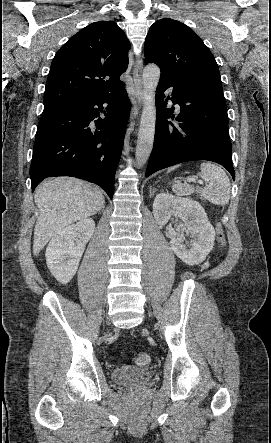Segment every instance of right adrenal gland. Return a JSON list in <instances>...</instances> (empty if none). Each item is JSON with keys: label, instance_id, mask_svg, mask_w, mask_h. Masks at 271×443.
<instances>
[{"label": "right adrenal gland", "instance_id": "2a0ac1e0", "mask_svg": "<svg viewBox=\"0 0 271 443\" xmlns=\"http://www.w3.org/2000/svg\"><path fill=\"white\" fill-rule=\"evenodd\" d=\"M99 212H104V210H99Z\"/></svg>", "mask_w": 271, "mask_h": 443}]
</instances>
